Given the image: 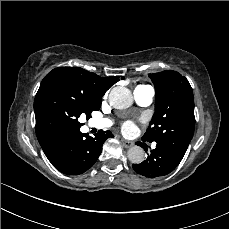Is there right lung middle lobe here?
Wrapping results in <instances>:
<instances>
[{"label":"right lung middle lobe","instance_id":"1","mask_svg":"<svg viewBox=\"0 0 229 229\" xmlns=\"http://www.w3.org/2000/svg\"><path fill=\"white\" fill-rule=\"evenodd\" d=\"M101 101L90 99L80 89L64 80H51L40 86L34 100L36 134L47 142L80 130L78 118L87 119L99 110Z\"/></svg>","mask_w":229,"mask_h":229}]
</instances>
